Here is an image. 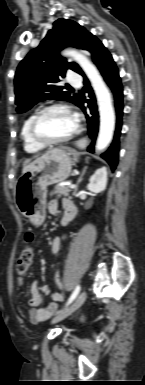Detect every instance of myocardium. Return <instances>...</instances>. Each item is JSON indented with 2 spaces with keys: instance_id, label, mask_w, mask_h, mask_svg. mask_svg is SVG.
<instances>
[{
  "instance_id": "1",
  "label": "myocardium",
  "mask_w": 145,
  "mask_h": 385,
  "mask_svg": "<svg viewBox=\"0 0 145 385\" xmlns=\"http://www.w3.org/2000/svg\"><path fill=\"white\" fill-rule=\"evenodd\" d=\"M53 110H62L64 112L70 114L76 121V129L65 138L58 139V140H46L40 136L39 131H38V125H39L41 119L48 112L53 111ZM80 132H81V125H80L78 118L76 117L73 110L68 105H65V104H52V105H48V106L42 108L41 110H39L35 114V116L33 117L31 124H30V128H29V135H30V138L32 139V141L35 144H37L38 146L43 147V148L67 143V142L71 141L72 139H74L75 137H77L80 134Z\"/></svg>"
}]
</instances>
